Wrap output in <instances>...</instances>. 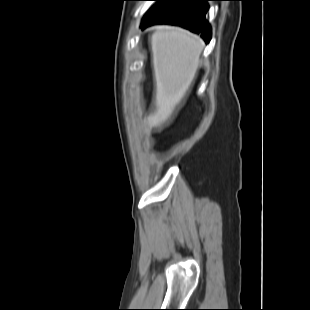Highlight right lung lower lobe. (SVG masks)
<instances>
[{"label": "right lung lower lobe", "mask_w": 310, "mask_h": 310, "mask_svg": "<svg viewBox=\"0 0 310 310\" xmlns=\"http://www.w3.org/2000/svg\"><path fill=\"white\" fill-rule=\"evenodd\" d=\"M209 0H161L146 14L142 27L155 23H170L187 28L201 36L208 43L209 25L206 20Z\"/></svg>", "instance_id": "obj_1"}]
</instances>
